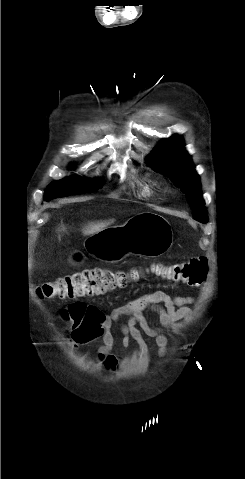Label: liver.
Segmentation results:
<instances>
[{"mask_svg":"<svg viewBox=\"0 0 245 479\" xmlns=\"http://www.w3.org/2000/svg\"><path fill=\"white\" fill-rule=\"evenodd\" d=\"M114 221H100V222H95V223H89L87 227L83 229V234L88 236V235H93L95 233H98L105 228H107L110 224H112ZM64 229V228H63Z\"/></svg>","mask_w":245,"mask_h":479,"instance_id":"1","label":"liver"}]
</instances>
